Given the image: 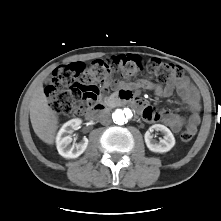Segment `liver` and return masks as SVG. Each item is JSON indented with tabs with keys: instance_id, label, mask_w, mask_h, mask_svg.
I'll return each instance as SVG.
<instances>
[{
	"instance_id": "liver-1",
	"label": "liver",
	"mask_w": 221,
	"mask_h": 221,
	"mask_svg": "<svg viewBox=\"0 0 221 221\" xmlns=\"http://www.w3.org/2000/svg\"><path fill=\"white\" fill-rule=\"evenodd\" d=\"M30 120L35 134L43 142L52 145L58 129V116L48 105L42 83L36 87L32 95Z\"/></svg>"
}]
</instances>
